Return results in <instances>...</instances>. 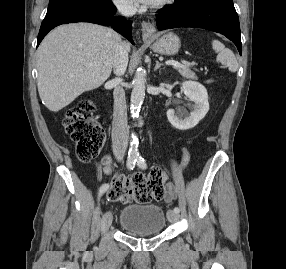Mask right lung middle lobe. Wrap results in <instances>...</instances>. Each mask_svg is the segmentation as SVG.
<instances>
[{"instance_id":"obj_1","label":"right lung middle lobe","mask_w":286,"mask_h":269,"mask_svg":"<svg viewBox=\"0 0 286 269\" xmlns=\"http://www.w3.org/2000/svg\"><path fill=\"white\" fill-rule=\"evenodd\" d=\"M75 4L93 5L102 10H110L114 6L111 0H50L47 12H52Z\"/></svg>"}]
</instances>
